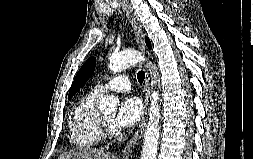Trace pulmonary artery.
<instances>
[{"mask_svg":"<svg viewBox=\"0 0 253 159\" xmlns=\"http://www.w3.org/2000/svg\"><path fill=\"white\" fill-rule=\"evenodd\" d=\"M131 87L130 81L125 75H118L110 78L107 82L103 84L96 85L92 92L99 95L105 91H117L125 92L128 91Z\"/></svg>","mask_w":253,"mask_h":159,"instance_id":"1","label":"pulmonary artery"}]
</instances>
